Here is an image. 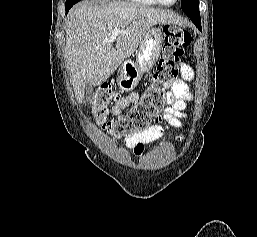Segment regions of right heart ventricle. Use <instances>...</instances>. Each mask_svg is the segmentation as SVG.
<instances>
[{"label":"right heart ventricle","instance_id":"e07e8e85","mask_svg":"<svg viewBox=\"0 0 257 237\" xmlns=\"http://www.w3.org/2000/svg\"><path fill=\"white\" fill-rule=\"evenodd\" d=\"M133 3L141 4V5H156L157 3L154 0H127Z\"/></svg>","mask_w":257,"mask_h":237}]
</instances>
